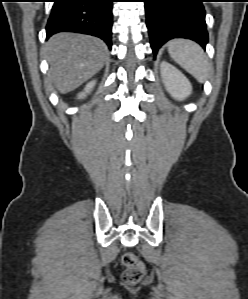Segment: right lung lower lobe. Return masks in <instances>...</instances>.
Segmentation results:
<instances>
[{
  "mask_svg": "<svg viewBox=\"0 0 248 299\" xmlns=\"http://www.w3.org/2000/svg\"><path fill=\"white\" fill-rule=\"evenodd\" d=\"M113 0H54L47 22V38L76 32L101 38L111 48Z\"/></svg>",
  "mask_w": 248,
  "mask_h": 299,
  "instance_id": "obj_1",
  "label": "right lung lower lobe"
}]
</instances>
